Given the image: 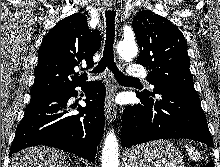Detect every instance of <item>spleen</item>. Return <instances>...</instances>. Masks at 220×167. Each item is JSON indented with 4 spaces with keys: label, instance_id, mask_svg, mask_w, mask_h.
I'll return each mask as SVG.
<instances>
[{
    "label": "spleen",
    "instance_id": "obj_1",
    "mask_svg": "<svg viewBox=\"0 0 220 167\" xmlns=\"http://www.w3.org/2000/svg\"><path fill=\"white\" fill-rule=\"evenodd\" d=\"M185 147H186V150H187V152H188V156L193 160V161H198V160H200V154L198 153V151L197 150H195V148L194 147H192V146H186L185 145Z\"/></svg>",
    "mask_w": 220,
    "mask_h": 167
}]
</instances>
